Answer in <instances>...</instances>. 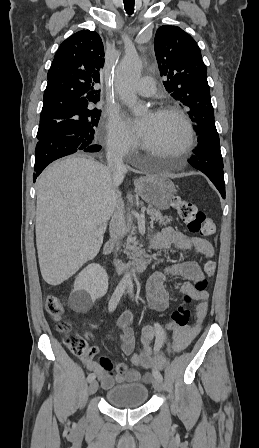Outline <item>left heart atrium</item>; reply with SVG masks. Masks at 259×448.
Masks as SVG:
<instances>
[{"label":"left heart atrium","mask_w":259,"mask_h":448,"mask_svg":"<svg viewBox=\"0 0 259 448\" xmlns=\"http://www.w3.org/2000/svg\"><path fill=\"white\" fill-rule=\"evenodd\" d=\"M145 124H146L145 121H141V122L137 123V124H136V128H137V130H138V131H141V130L144 128Z\"/></svg>","instance_id":"39dd6f15"}]
</instances>
